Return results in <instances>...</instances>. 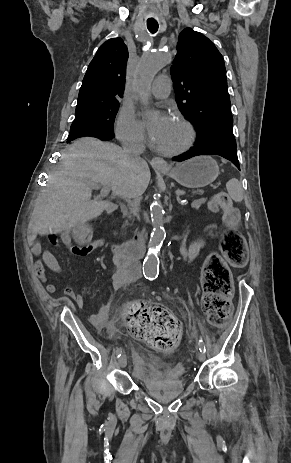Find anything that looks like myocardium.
<instances>
[{"mask_svg": "<svg viewBox=\"0 0 291 463\" xmlns=\"http://www.w3.org/2000/svg\"><path fill=\"white\" fill-rule=\"evenodd\" d=\"M176 121L179 123V125L184 130V133H185L184 140L179 146L173 149H167V150L158 149V151L164 156L180 155L184 153L185 151H187L193 145L195 141L196 133H195V129L192 123L180 115L176 116Z\"/></svg>", "mask_w": 291, "mask_h": 463, "instance_id": "obj_1", "label": "myocardium"}]
</instances>
